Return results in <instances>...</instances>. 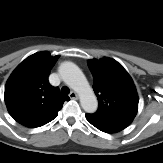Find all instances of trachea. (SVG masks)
Listing matches in <instances>:
<instances>
[{"instance_id": "1", "label": "trachea", "mask_w": 163, "mask_h": 163, "mask_svg": "<svg viewBox=\"0 0 163 163\" xmlns=\"http://www.w3.org/2000/svg\"><path fill=\"white\" fill-rule=\"evenodd\" d=\"M61 92H62L63 94H69V93H70V90H69V88H68L67 86H63V87L61 88Z\"/></svg>"}]
</instances>
